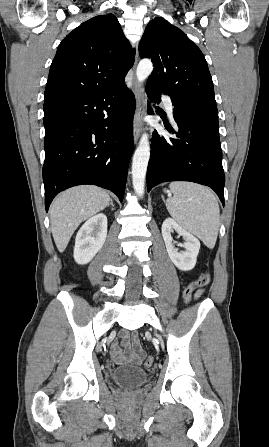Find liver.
I'll use <instances>...</instances> for the list:
<instances>
[{
	"mask_svg": "<svg viewBox=\"0 0 269 447\" xmlns=\"http://www.w3.org/2000/svg\"><path fill=\"white\" fill-rule=\"evenodd\" d=\"M110 196L97 186H76L62 192L50 208L51 231L59 251H64L78 225L109 206Z\"/></svg>",
	"mask_w": 269,
	"mask_h": 447,
	"instance_id": "1",
	"label": "liver"
}]
</instances>
